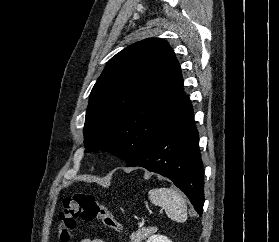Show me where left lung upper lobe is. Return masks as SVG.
Here are the masks:
<instances>
[{
  "mask_svg": "<svg viewBox=\"0 0 279 242\" xmlns=\"http://www.w3.org/2000/svg\"><path fill=\"white\" fill-rule=\"evenodd\" d=\"M188 100L180 64L166 41L150 38L128 46L108 61L91 91L86 152L101 148L129 163L177 119Z\"/></svg>",
  "mask_w": 279,
  "mask_h": 242,
  "instance_id": "obj_1",
  "label": "left lung upper lobe"
}]
</instances>
